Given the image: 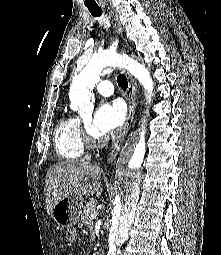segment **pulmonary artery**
<instances>
[{
	"mask_svg": "<svg viewBox=\"0 0 221 255\" xmlns=\"http://www.w3.org/2000/svg\"><path fill=\"white\" fill-rule=\"evenodd\" d=\"M96 90L103 96H110L114 92L113 85L108 80H102L96 84Z\"/></svg>",
	"mask_w": 221,
	"mask_h": 255,
	"instance_id": "e3ab8cb5",
	"label": "pulmonary artery"
}]
</instances>
